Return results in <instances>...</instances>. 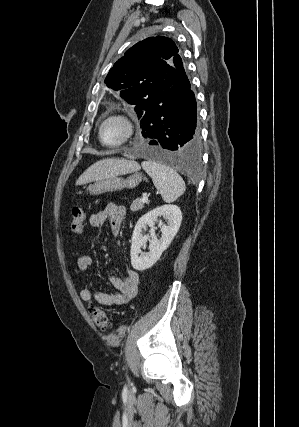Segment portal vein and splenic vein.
Returning a JSON list of instances; mask_svg holds the SVG:
<instances>
[{
	"label": "portal vein and splenic vein",
	"instance_id": "portal-vein-and-splenic-vein-1",
	"mask_svg": "<svg viewBox=\"0 0 299 427\" xmlns=\"http://www.w3.org/2000/svg\"><path fill=\"white\" fill-rule=\"evenodd\" d=\"M142 201H143V202H148V197H147V196H143V197H142Z\"/></svg>",
	"mask_w": 299,
	"mask_h": 427
}]
</instances>
